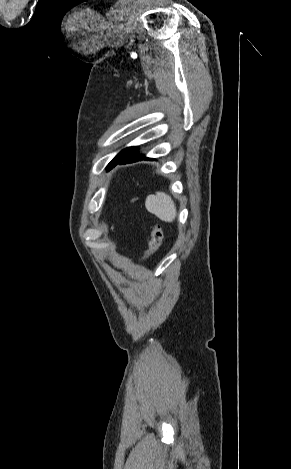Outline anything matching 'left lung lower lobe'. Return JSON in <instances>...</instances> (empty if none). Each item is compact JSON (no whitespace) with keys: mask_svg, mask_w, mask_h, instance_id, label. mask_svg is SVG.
I'll return each mask as SVG.
<instances>
[{"mask_svg":"<svg viewBox=\"0 0 291 469\" xmlns=\"http://www.w3.org/2000/svg\"><path fill=\"white\" fill-rule=\"evenodd\" d=\"M142 159H150V158H146L144 155H139L137 153V148L132 147L127 153H125L122 157H120L115 162L114 166L117 165V164L132 163V162H136V161H139V160H142ZM113 167H111V168H113Z\"/></svg>","mask_w":291,"mask_h":469,"instance_id":"obj_1","label":"left lung lower lobe"}]
</instances>
